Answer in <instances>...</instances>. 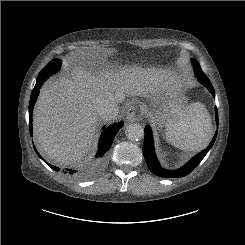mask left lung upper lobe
Masks as SVG:
<instances>
[{
  "label": "left lung upper lobe",
  "instance_id": "1",
  "mask_svg": "<svg viewBox=\"0 0 245 245\" xmlns=\"http://www.w3.org/2000/svg\"><path fill=\"white\" fill-rule=\"evenodd\" d=\"M192 64L194 66V71L199 81L202 82V79H208L207 76L201 70L199 63L195 59H192Z\"/></svg>",
  "mask_w": 245,
  "mask_h": 245
}]
</instances>
